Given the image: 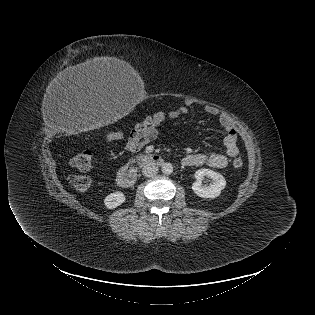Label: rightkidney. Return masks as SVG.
I'll return each instance as SVG.
<instances>
[{
    "mask_svg": "<svg viewBox=\"0 0 315 315\" xmlns=\"http://www.w3.org/2000/svg\"><path fill=\"white\" fill-rule=\"evenodd\" d=\"M125 201V195L122 192H113L106 196L104 205L107 209H114Z\"/></svg>",
    "mask_w": 315,
    "mask_h": 315,
    "instance_id": "1",
    "label": "right kidney"
}]
</instances>
